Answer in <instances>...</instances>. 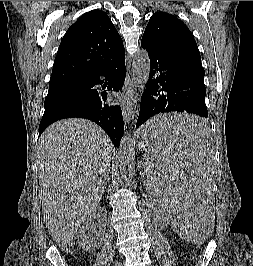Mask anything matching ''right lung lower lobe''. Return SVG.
<instances>
[{"instance_id":"obj_1","label":"right lung lower lobe","mask_w":253,"mask_h":266,"mask_svg":"<svg viewBox=\"0 0 253 266\" xmlns=\"http://www.w3.org/2000/svg\"><path fill=\"white\" fill-rule=\"evenodd\" d=\"M125 75V58H123L102 72L85 78L66 105L51 114L43 115L39 125V135L57 120L87 118L102 127L114 146L119 147L124 132L121 108L118 105L109 106L106 103V92L95 89V85L102 84L100 77H105L109 79L108 89L118 92L124 83Z\"/></svg>"}]
</instances>
